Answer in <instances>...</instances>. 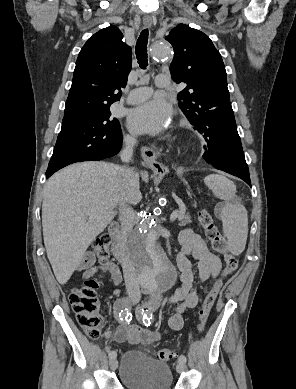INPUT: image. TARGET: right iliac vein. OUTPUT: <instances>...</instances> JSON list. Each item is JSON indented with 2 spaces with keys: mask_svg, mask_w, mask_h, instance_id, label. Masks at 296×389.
I'll use <instances>...</instances> for the list:
<instances>
[{
  "mask_svg": "<svg viewBox=\"0 0 296 389\" xmlns=\"http://www.w3.org/2000/svg\"><path fill=\"white\" fill-rule=\"evenodd\" d=\"M110 368L112 370H115L118 366V361L116 360V358H110Z\"/></svg>",
  "mask_w": 296,
  "mask_h": 389,
  "instance_id": "63e3f726",
  "label": "right iliac vein"
}]
</instances>
